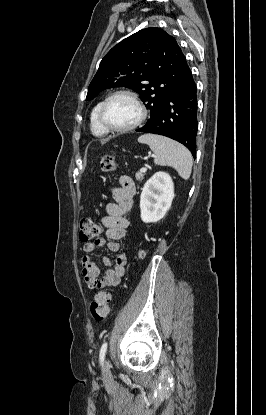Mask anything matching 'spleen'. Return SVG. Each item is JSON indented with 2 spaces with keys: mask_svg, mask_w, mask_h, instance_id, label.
I'll list each match as a JSON object with an SVG mask.
<instances>
[{
  "mask_svg": "<svg viewBox=\"0 0 266 415\" xmlns=\"http://www.w3.org/2000/svg\"><path fill=\"white\" fill-rule=\"evenodd\" d=\"M138 142L149 145L154 153V163L174 168L178 174L188 180L191 175L193 160L191 153L180 143L164 136L144 134Z\"/></svg>",
  "mask_w": 266,
  "mask_h": 415,
  "instance_id": "obj_1",
  "label": "spleen"
}]
</instances>
